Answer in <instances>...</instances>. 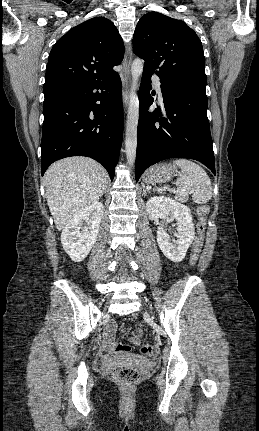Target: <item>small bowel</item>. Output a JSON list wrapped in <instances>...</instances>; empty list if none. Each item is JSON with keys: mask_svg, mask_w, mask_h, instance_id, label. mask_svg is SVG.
<instances>
[{"mask_svg": "<svg viewBox=\"0 0 259 431\" xmlns=\"http://www.w3.org/2000/svg\"><path fill=\"white\" fill-rule=\"evenodd\" d=\"M113 331L114 328L113 327H109L106 333V339L107 341L111 340L112 336H113Z\"/></svg>", "mask_w": 259, "mask_h": 431, "instance_id": "c3829d8e", "label": "small bowel"}]
</instances>
